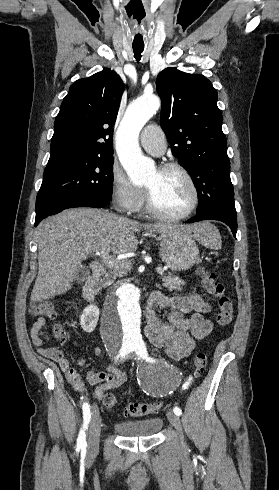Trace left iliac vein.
I'll return each mask as SVG.
<instances>
[{"label":"left iliac vein","mask_w":279,"mask_h":490,"mask_svg":"<svg viewBox=\"0 0 279 490\" xmlns=\"http://www.w3.org/2000/svg\"><path fill=\"white\" fill-rule=\"evenodd\" d=\"M167 418H168L169 422L171 423V425L178 432V437H179L180 443L182 446H184L183 433H182V428H181L179 417L176 414H174L171 410H169L167 412Z\"/></svg>","instance_id":"obj_1"}]
</instances>
